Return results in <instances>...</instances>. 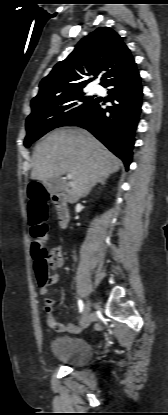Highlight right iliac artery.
<instances>
[{"mask_svg": "<svg viewBox=\"0 0 168 415\" xmlns=\"http://www.w3.org/2000/svg\"><path fill=\"white\" fill-rule=\"evenodd\" d=\"M79 311L82 312L84 309V304L81 299L78 300Z\"/></svg>", "mask_w": 168, "mask_h": 415, "instance_id": "obj_1", "label": "right iliac artery"}]
</instances>
